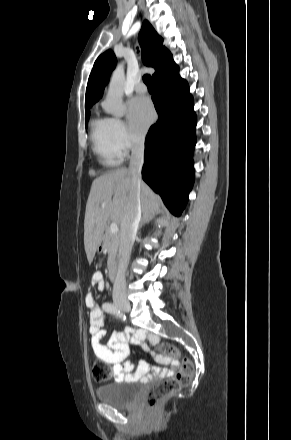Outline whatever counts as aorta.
I'll use <instances>...</instances> for the list:
<instances>
[{
    "label": "aorta",
    "instance_id": "762f6f07",
    "mask_svg": "<svg viewBox=\"0 0 291 440\" xmlns=\"http://www.w3.org/2000/svg\"><path fill=\"white\" fill-rule=\"evenodd\" d=\"M124 80V65L119 64L112 74L106 100L104 102L105 111L115 117H122L126 112V108L123 103Z\"/></svg>",
    "mask_w": 291,
    "mask_h": 440
}]
</instances>
